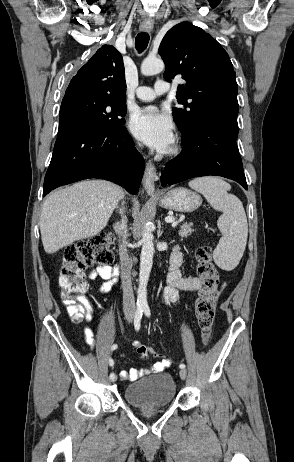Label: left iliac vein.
<instances>
[{
	"label": "left iliac vein",
	"mask_w": 294,
	"mask_h": 462,
	"mask_svg": "<svg viewBox=\"0 0 294 462\" xmlns=\"http://www.w3.org/2000/svg\"><path fill=\"white\" fill-rule=\"evenodd\" d=\"M179 374H180L181 379L184 380V379H186V376H187V370L186 369H181Z\"/></svg>",
	"instance_id": "1"
}]
</instances>
